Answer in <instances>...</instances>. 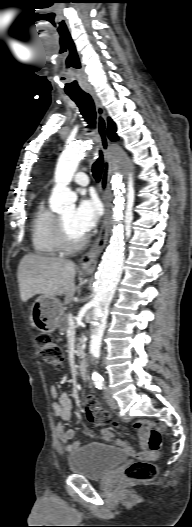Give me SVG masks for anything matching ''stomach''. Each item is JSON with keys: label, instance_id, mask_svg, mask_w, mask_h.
Returning <instances> with one entry per match:
<instances>
[{"label": "stomach", "instance_id": "1", "mask_svg": "<svg viewBox=\"0 0 192 527\" xmlns=\"http://www.w3.org/2000/svg\"><path fill=\"white\" fill-rule=\"evenodd\" d=\"M63 305L55 297H38L31 308V321L41 332L51 333L60 323Z\"/></svg>", "mask_w": 192, "mask_h": 527}]
</instances>
